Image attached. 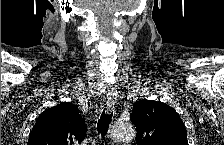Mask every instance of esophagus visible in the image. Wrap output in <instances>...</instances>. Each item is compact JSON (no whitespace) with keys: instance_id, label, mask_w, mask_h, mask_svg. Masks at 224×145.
I'll use <instances>...</instances> for the list:
<instances>
[{"instance_id":"34e87169","label":"esophagus","mask_w":224,"mask_h":145,"mask_svg":"<svg viewBox=\"0 0 224 145\" xmlns=\"http://www.w3.org/2000/svg\"><path fill=\"white\" fill-rule=\"evenodd\" d=\"M115 93L113 90L109 91L107 95V102H106V111L111 112L114 108V98H115Z\"/></svg>"}]
</instances>
